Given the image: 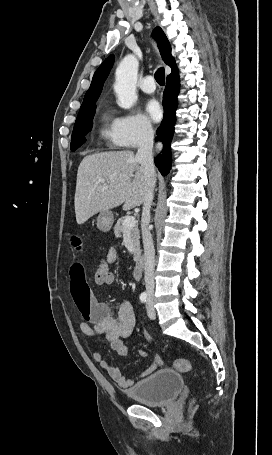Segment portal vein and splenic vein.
Returning a JSON list of instances; mask_svg holds the SVG:
<instances>
[{"instance_id":"portal-vein-and-splenic-vein-1","label":"portal vein and splenic vein","mask_w":272,"mask_h":455,"mask_svg":"<svg viewBox=\"0 0 272 455\" xmlns=\"http://www.w3.org/2000/svg\"><path fill=\"white\" fill-rule=\"evenodd\" d=\"M99 181L102 182V183H105L104 179H100ZM135 225H136V219L133 216L126 217L124 222H123V226H124L125 230L131 229Z\"/></svg>"}]
</instances>
